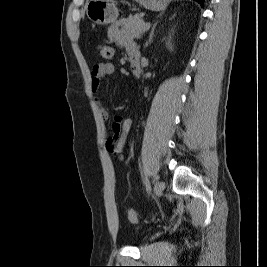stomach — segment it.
Segmentation results:
<instances>
[{"instance_id":"obj_1","label":"stomach","mask_w":267,"mask_h":267,"mask_svg":"<svg viewBox=\"0 0 267 267\" xmlns=\"http://www.w3.org/2000/svg\"><path fill=\"white\" fill-rule=\"evenodd\" d=\"M137 1L148 10L159 11L164 8L163 0ZM85 9L87 17L97 25L114 23L119 15L114 0H89Z\"/></svg>"}]
</instances>
